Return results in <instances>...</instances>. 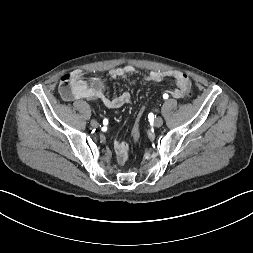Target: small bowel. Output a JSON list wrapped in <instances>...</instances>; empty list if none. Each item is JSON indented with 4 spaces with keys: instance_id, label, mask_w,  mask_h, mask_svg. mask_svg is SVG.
Masks as SVG:
<instances>
[{
    "instance_id": "c3829d8e",
    "label": "small bowel",
    "mask_w": 253,
    "mask_h": 253,
    "mask_svg": "<svg viewBox=\"0 0 253 253\" xmlns=\"http://www.w3.org/2000/svg\"><path fill=\"white\" fill-rule=\"evenodd\" d=\"M135 73L132 66L116 67L109 71V76L113 79H128ZM85 74L82 70H74L61 80L60 93L64 100L75 101L79 99L99 100L105 107L109 109H117L132 102L129 92L125 91L118 96L109 97L104 90V83L98 77H92L88 81L85 80ZM166 78H173L176 88L169 91L168 94L174 98L181 99L190 92L191 81L189 77L178 70H154L147 73L144 82H160ZM167 94V95H168ZM114 149L117 154V162L123 165L128 157V145L123 141H114Z\"/></svg>"
}]
</instances>
